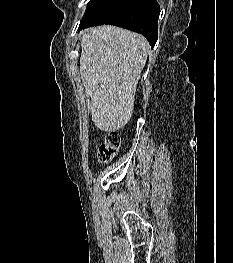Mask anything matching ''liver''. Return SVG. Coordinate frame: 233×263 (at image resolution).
Segmentation results:
<instances>
[{"mask_svg":"<svg viewBox=\"0 0 233 263\" xmlns=\"http://www.w3.org/2000/svg\"><path fill=\"white\" fill-rule=\"evenodd\" d=\"M148 51L144 36L119 27L82 32L80 75L91 98L92 121L100 130L115 131L130 120Z\"/></svg>","mask_w":233,"mask_h":263,"instance_id":"6515ba94","label":"liver"}]
</instances>
